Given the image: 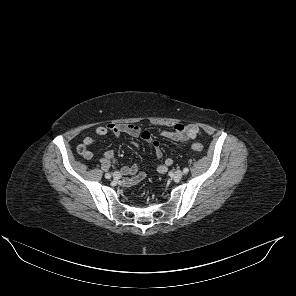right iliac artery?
I'll list each match as a JSON object with an SVG mask.
<instances>
[{
  "label": "right iliac artery",
  "instance_id": "1",
  "mask_svg": "<svg viewBox=\"0 0 296 296\" xmlns=\"http://www.w3.org/2000/svg\"><path fill=\"white\" fill-rule=\"evenodd\" d=\"M105 177H106L107 179H110V178H111V174L106 173V174H105Z\"/></svg>",
  "mask_w": 296,
  "mask_h": 296
}]
</instances>
